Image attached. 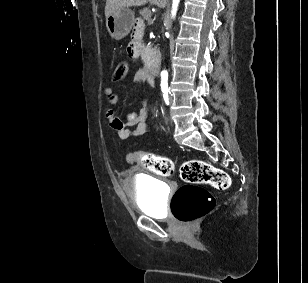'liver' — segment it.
Segmentation results:
<instances>
[{"instance_id": "6515ba94", "label": "liver", "mask_w": 308, "mask_h": 283, "mask_svg": "<svg viewBox=\"0 0 308 283\" xmlns=\"http://www.w3.org/2000/svg\"><path fill=\"white\" fill-rule=\"evenodd\" d=\"M148 1L152 4L158 5L159 7H164L166 5V0H106L105 16L108 17L118 8L142 6Z\"/></svg>"}]
</instances>
